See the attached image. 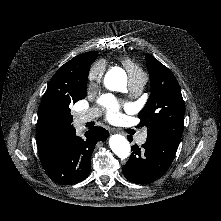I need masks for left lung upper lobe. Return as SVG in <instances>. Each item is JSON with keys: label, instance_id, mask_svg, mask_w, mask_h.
Returning <instances> with one entry per match:
<instances>
[{"label": "left lung upper lobe", "instance_id": "obj_1", "mask_svg": "<svg viewBox=\"0 0 221 221\" xmlns=\"http://www.w3.org/2000/svg\"><path fill=\"white\" fill-rule=\"evenodd\" d=\"M151 94L138 114L141 125L148 128L147 138L181 139L185 104L173 73L150 54L146 55Z\"/></svg>", "mask_w": 221, "mask_h": 221}]
</instances>
